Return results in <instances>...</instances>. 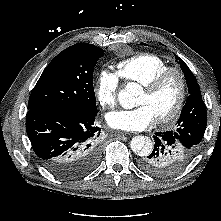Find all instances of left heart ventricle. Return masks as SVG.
<instances>
[{
    "label": "left heart ventricle",
    "instance_id": "left-heart-ventricle-1",
    "mask_svg": "<svg viewBox=\"0 0 221 221\" xmlns=\"http://www.w3.org/2000/svg\"><path fill=\"white\" fill-rule=\"evenodd\" d=\"M179 95V82L176 76H170L155 93H147L142 90L137 99L136 105L148 106L155 117L168 113L175 105Z\"/></svg>",
    "mask_w": 221,
    "mask_h": 221
}]
</instances>
